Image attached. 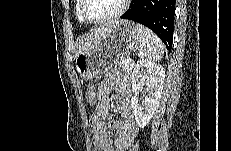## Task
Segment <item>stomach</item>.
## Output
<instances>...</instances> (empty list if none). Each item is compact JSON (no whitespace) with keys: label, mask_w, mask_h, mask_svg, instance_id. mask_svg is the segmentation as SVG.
Instances as JSON below:
<instances>
[{"label":"stomach","mask_w":231,"mask_h":151,"mask_svg":"<svg viewBox=\"0 0 231 151\" xmlns=\"http://www.w3.org/2000/svg\"><path fill=\"white\" fill-rule=\"evenodd\" d=\"M139 44L133 22L115 21L96 45L76 57V71L81 79L91 80L134 53Z\"/></svg>","instance_id":"obj_1"}]
</instances>
